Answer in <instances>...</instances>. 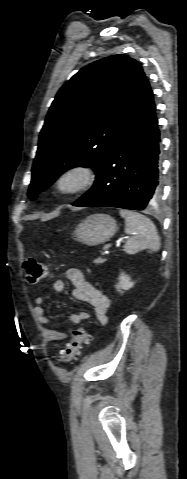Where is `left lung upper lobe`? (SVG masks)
Returning a JSON list of instances; mask_svg holds the SVG:
<instances>
[{
    "label": "left lung upper lobe",
    "mask_w": 187,
    "mask_h": 479,
    "mask_svg": "<svg viewBox=\"0 0 187 479\" xmlns=\"http://www.w3.org/2000/svg\"><path fill=\"white\" fill-rule=\"evenodd\" d=\"M145 78L138 61L118 54L85 66L60 88L39 136L31 199L70 168L98 171L119 139Z\"/></svg>",
    "instance_id": "obj_1"
}]
</instances>
